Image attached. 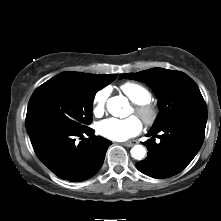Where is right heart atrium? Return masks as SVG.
<instances>
[{
  "label": "right heart atrium",
  "instance_id": "right-heart-atrium-1",
  "mask_svg": "<svg viewBox=\"0 0 221 221\" xmlns=\"http://www.w3.org/2000/svg\"><path fill=\"white\" fill-rule=\"evenodd\" d=\"M110 95V89L108 87L102 88L96 92L93 98V113L96 116H100L103 114L107 100Z\"/></svg>",
  "mask_w": 221,
  "mask_h": 221
}]
</instances>
